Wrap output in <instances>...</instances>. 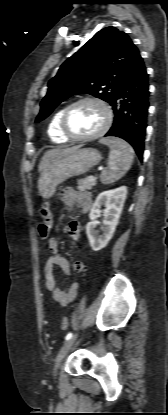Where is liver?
I'll use <instances>...</instances> for the list:
<instances>
[{
  "label": "liver",
  "mask_w": 168,
  "mask_h": 415,
  "mask_svg": "<svg viewBox=\"0 0 168 415\" xmlns=\"http://www.w3.org/2000/svg\"><path fill=\"white\" fill-rule=\"evenodd\" d=\"M75 147L71 148H58V149H51L44 153L39 166L38 171L43 173L54 161L58 158L66 155L69 151L74 149Z\"/></svg>",
  "instance_id": "1"
}]
</instances>
